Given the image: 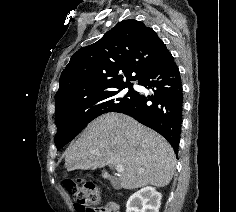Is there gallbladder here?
Instances as JSON below:
<instances>
[{
    "label": "gallbladder",
    "mask_w": 236,
    "mask_h": 212,
    "mask_svg": "<svg viewBox=\"0 0 236 212\" xmlns=\"http://www.w3.org/2000/svg\"><path fill=\"white\" fill-rule=\"evenodd\" d=\"M112 182H113V184H114V185H116V186H118V185H119V182L117 181V179H113V181H112Z\"/></svg>",
    "instance_id": "1"
}]
</instances>
